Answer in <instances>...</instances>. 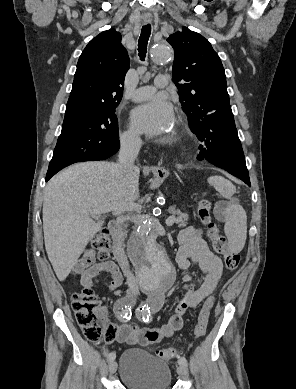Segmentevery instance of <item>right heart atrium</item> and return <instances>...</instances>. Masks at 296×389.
<instances>
[{"instance_id": "1", "label": "right heart atrium", "mask_w": 296, "mask_h": 389, "mask_svg": "<svg viewBox=\"0 0 296 389\" xmlns=\"http://www.w3.org/2000/svg\"><path fill=\"white\" fill-rule=\"evenodd\" d=\"M121 142L123 146L129 147L133 146L137 142V136L134 132L127 130L122 133L121 135Z\"/></svg>"}]
</instances>
